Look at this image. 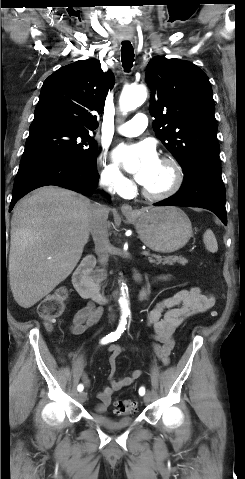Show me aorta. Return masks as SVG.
<instances>
[{
  "label": "aorta",
  "mask_w": 245,
  "mask_h": 479,
  "mask_svg": "<svg viewBox=\"0 0 245 479\" xmlns=\"http://www.w3.org/2000/svg\"><path fill=\"white\" fill-rule=\"evenodd\" d=\"M147 98V91L144 86H129L123 89L119 104L120 108L124 113L132 111L137 107L141 106ZM124 168L126 171L133 173L136 172L139 168V162L136 159H127L124 162ZM125 287L122 286V296L119 298V304L122 310V313L127 315L129 314L128 301L126 299V294L124 292Z\"/></svg>",
  "instance_id": "1"
}]
</instances>
